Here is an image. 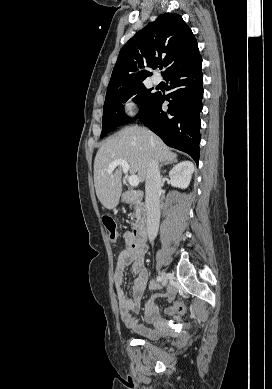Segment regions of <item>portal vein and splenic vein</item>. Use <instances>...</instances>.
<instances>
[{
    "label": "portal vein and splenic vein",
    "instance_id": "1",
    "mask_svg": "<svg viewBox=\"0 0 272 389\" xmlns=\"http://www.w3.org/2000/svg\"><path fill=\"white\" fill-rule=\"evenodd\" d=\"M120 166L122 168V171L127 174L128 171H129V164L127 161L123 160V159H117L115 161H113L109 167H108V174H112L114 169L116 167ZM128 182L129 184L132 186V187H136L138 186L139 184V178L137 175H131L129 178H128Z\"/></svg>",
    "mask_w": 272,
    "mask_h": 389
}]
</instances>
